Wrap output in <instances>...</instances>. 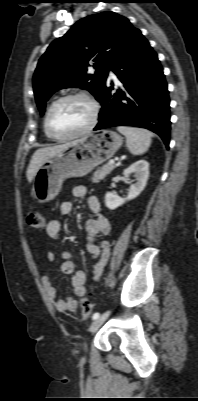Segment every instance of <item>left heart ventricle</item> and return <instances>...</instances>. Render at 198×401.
Wrapping results in <instances>:
<instances>
[{
    "label": "left heart ventricle",
    "mask_w": 198,
    "mask_h": 401,
    "mask_svg": "<svg viewBox=\"0 0 198 401\" xmlns=\"http://www.w3.org/2000/svg\"><path fill=\"white\" fill-rule=\"evenodd\" d=\"M92 117L91 106L82 99H69L60 103L51 116L52 131L67 136L85 128Z\"/></svg>",
    "instance_id": "obj_1"
}]
</instances>
